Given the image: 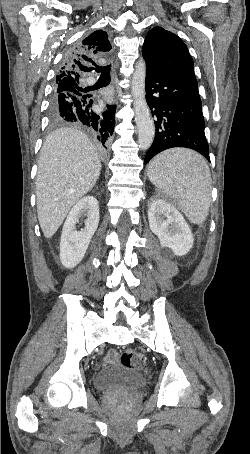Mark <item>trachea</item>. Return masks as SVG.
Returning <instances> with one entry per match:
<instances>
[{
    "mask_svg": "<svg viewBox=\"0 0 250 454\" xmlns=\"http://www.w3.org/2000/svg\"><path fill=\"white\" fill-rule=\"evenodd\" d=\"M97 71L101 73L99 82L104 85H108L111 80L110 66H104V67L97 66Z\"/></svg>",
    "mask_w": 250,
    "mask_h": 454,
    "instance_id": "trachea-1",
    "label": "trachea"
}]
</instances>
